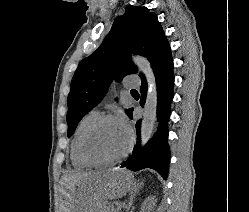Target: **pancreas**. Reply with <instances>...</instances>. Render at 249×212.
Wrapping results in <instances>:
<instances>
[{
    "mask_svg": "<svg viewBox=\"0 0 249 212\" xmlns=\"http://www.w3.org/2000/svg\"><path fill=\"white\" fill-rule=\"evenodd\" d=\"M112 210H114V212H117L114 206H107V204H102V206H100L99 208V212H112Z\"/></svg>",
    "mask_w": 249,
    "mask_h": 212,
    "instance_id": "1",
    "label": "pancreas"
}]
</instances>
